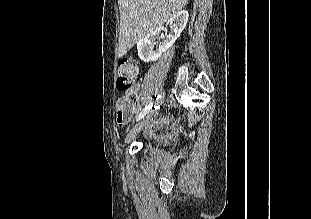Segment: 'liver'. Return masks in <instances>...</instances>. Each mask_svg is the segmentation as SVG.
<instances>
[{
  "label": "liver",
  "instance_id": "6515ba94",
  "mask_svg": "<svg viewBox=\"0 0 311 219\" xmlns=\"http://www.w3.org/2000/svg\"><path fill=\"white\" fill-rule=\"evenodd\" d=\"M188 0H118L120 32L118 56L122 57L139 40L160 28L180 12Z\"/></svg>",
  "mask_w": 311,
  "mask_h": 219
}]
</instances>
